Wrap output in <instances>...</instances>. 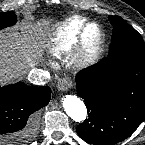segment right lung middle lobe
I'll use <instances>...</instances> for the list:
<instances>
[{
	"label": "right lung middle lobe",
	"mask_w": 145,
	"mask_h": 145,
	"mask_svg": "<svg viewBox=\"0 0 145 145\" xmlns=\"http://www.w3.org/2000/svg\"><path fill=\"white\" fill-rule=\"evenodd\" d=\"M17 17L13 11L0 12V29L13 26Z\"/></svg>",
	"instance_id": "right-lung-middle-lobe-1"
}]
</instances>
